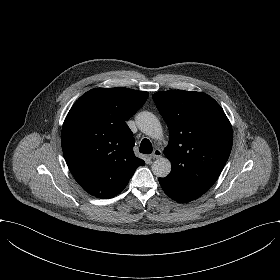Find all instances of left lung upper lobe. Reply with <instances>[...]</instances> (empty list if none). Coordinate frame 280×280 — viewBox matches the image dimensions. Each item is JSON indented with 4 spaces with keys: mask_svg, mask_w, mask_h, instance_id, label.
<instances>
[{
    "mask_svg": "<svg viewBox=\"0 0 280 280\" xmlns=\"http://www.w3.org/2000/svg\"><path fill=\"white\" fill-rule=\"evenodd\" d=\"M153 100L168 125L164 154L170 174L159 178L177 193L204 194L216 182L231 152L233 132L220 105L201 92H157Z\"/></svg>",
    "mask_w": 280,
    "mask_h": 280,
    "instance_id": "obj_1",
    "label": "left lung upper lobe"
}]
</instances>
